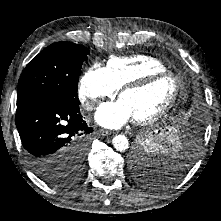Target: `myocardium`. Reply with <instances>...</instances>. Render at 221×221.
<instances>
[{
    "label": "myocardium",
    "instance_id": "obj_1",
    "mask_svg": "<svg viewBox=\"0 0 221 221\" xmlns=\"http://www.w3.org/2000/svg\"><path fill=\"white\" fill-rule=\"evenodd\" d=\"M163 77H170L175 82V90H174V93H173L170 101L164 106L163 109H161L156 114H154L150 117L133 119V122L135 124H137V125H151V124L158 122L162 118H164L172 110V108L175 106V104L179 98V95H180L181 90L183 88L182 81L179 76H177L176 74H174L171 71H160V72H155V73L145 75L138 80L128 82L120 87L118 95L121 98V96L125 92L142 89V88L148 86L149 84H151L152 82H154L155 80H158Z\"/></svg>",
    "mask_w": 221,
    "mask_h": 221
}]
</instances>
